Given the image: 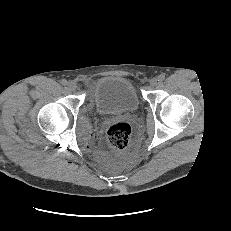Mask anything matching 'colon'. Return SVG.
Segmentation results:
<instances>
[{
  "instance_id": "5ec220e1",
  "label": "colon",
  "mask_w": 231,
  "mask_h": 231,
  "mask_svg": "<svg viewBox=\"0 0 231 231\" xmlns=\"http://www.w3.org/2000/svg\"><path fill=\"white\" fill-rule=\"evenodd\" d=\"M131 140V127L125 122L114 123L107 129V141L116 150L127 148Z\"/></svg>"
}]
</instances>
